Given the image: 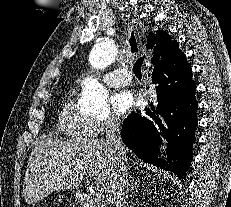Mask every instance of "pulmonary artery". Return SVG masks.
Here are the masks:
<instances>
[{
  "label": "pulmonary artery",
  "instance_id": "obj_1",
  "mask_svg": "<svg viewBox=\"0 0 231 207\" xmlns=\"http://www.w3.org/2000/svg\"><path fill=\"white\" fill-rule=\"evenodd\" d=\"M103 80L108 86L120 87L130 83L131 75L127 68L122 67L103 75Z\"/></svg>",
  "mask_w": 231,
  "mask_h": 207
}]
</instances>
